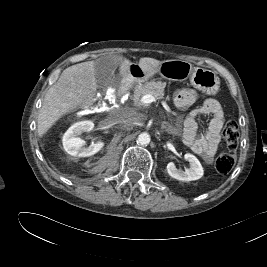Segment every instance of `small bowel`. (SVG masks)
<instances>
[{
    "instance_id": "small-bowel-1",
    "label": "small bowel",
    "mask_w": 267,
    "mask_h": 267,
    "mask_svg": "<svg viewBox=\"0 0 267 267\" xmlns=\"http://www.w3.org/2000/svg\"><path fill=\"white\" fill-rule=\"evenodd\" d=\"M197 100V93L192 89L180 91L174 97L176 108L184 109ZM201 116H210L208 129L199 135L198 119ZM224 123V114L221 104L213 98L207 99L204 104L189 113L184 122L183 142L194 153L206 161H211L217 152L220 143V133Z\"/></svg>"
}]
</instances>
